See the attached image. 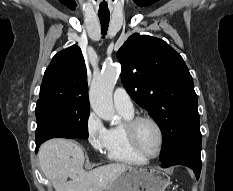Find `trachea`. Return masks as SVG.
Instances as JSON below:
<instances>
[{
    "instance_id": "trachea-1",
    "label": "trachea",
    "mask_w": 233,
    "mask_h": 191,
    "mask_svg": "<svg viewBox=\"0 0 233 191\" xmlns=\"http://www.w3.org/2000/svg\"><path fill=\"white\" fill-rule=\"evenodd\" d=\"M98 17L100 19L101 28H102V35H106L110 14H98Z\"/></svg>"
}]
</instances>
